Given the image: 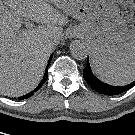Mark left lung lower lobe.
<instances>
[{"mask_svg":"<svg viewBox=\"0 0 135 135\" xmlns=\"http://www.w3.org/2000/svg\"><path fill=\"white\" fill-rule=\"evenodd\" d=\"M83 77L95 91L104 95H119L135 85V81L125 86H112L101 82L93 75L89 65V59L86 68L83 70Z\"/></svg>","mask_w":135,"mask_h":135,"instance_id":"left-lung-lower-lobe-1","label":"left lung lower lobe"}]
</instances>
